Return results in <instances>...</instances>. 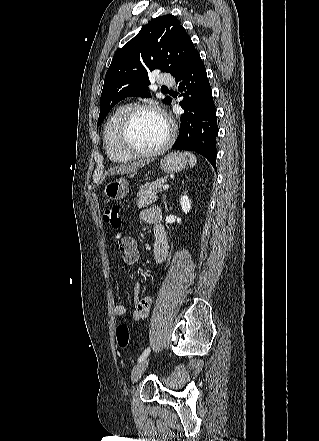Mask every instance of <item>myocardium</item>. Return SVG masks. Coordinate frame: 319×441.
<instances>
[{
    "instance_id": "f54148a6",
    "label": "myocardium",
    "mask_w": 319,
    "mask_h": 441,
    "mask_svg": "<svg viewBox=\"0 0 319 441\" xmlns=\"http://www.w3.org/2000/svg\"><path fill=\"white\" fill-rule=\"evenodd\" d=\"M142 111L157 113L167 125V136L165 141L156 149L151 151H141L133 147L128 138L129 130L134 118ZM176 129L171 118L159 106L152 103H141L131 106L124 115L118 129V144L120 148L131 157L146 158L153 157L165 152L175 139Z\"/></svg>"
}]
</instances>
